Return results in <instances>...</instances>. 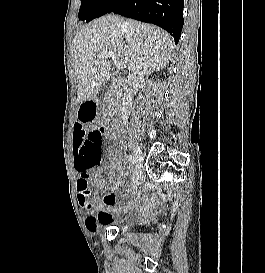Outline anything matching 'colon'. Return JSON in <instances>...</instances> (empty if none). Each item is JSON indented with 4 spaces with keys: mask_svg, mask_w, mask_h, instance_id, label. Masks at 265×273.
Instances as JSON below:
<instances>
[{
    "mask_svg": "<svg viewBox=\"0 0 265 273\" xmlns=\"http://www.w3.org/2000/svg\"><path fill=\"white\" fill-rule=\"evenodd\" d=\"M105 132L106 129L103 126L92 130L76 129L78 163L85 176L100 164V151Z\"/></svg>",
    "mask_w": 265,
    "mask_h": 273,
    "instance_id": "obj_1",
    "label": "colon"
}]
</instances>
